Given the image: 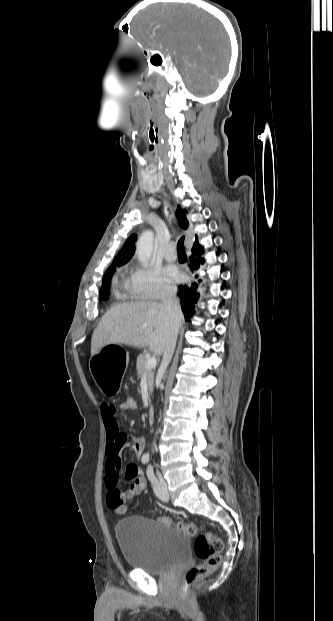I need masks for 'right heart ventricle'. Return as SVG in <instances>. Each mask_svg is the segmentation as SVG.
Listing matches in <instances>:
<instances>
[{
    "instance_id": "right-heart-ventricle-1",
    "label": "right heart ventricle",
    "mask_w": 333,
    "mask_h": 621,
    "mask_svg": "<svg viewBox=\"0 0 333 621\" xmlns=\"http://www.w3.org/2000/svg\"><path fill=\"white\" fill-rule=\"evenodd\" d=\"M115 294L122 300H130L136 298L129 286V280L123 275L116 280Z\"/></svg>"
}]
</instances>
